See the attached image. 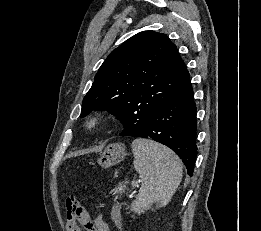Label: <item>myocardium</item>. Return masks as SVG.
Masks as SVG:
<instances>
[{"label":"myocardium","instance_id":"f54148a6","mask_svg":"<svg viewBox=\"0 0 261 231\" xmlns=\"http://www.w3.org/2000/svg\"><path fill=\"white\" fill-rule=\"evenodd\" d=\"M103 122H104L103 114L97 112L89 115L86 118L84 122V126L89 130H93L98 128Z\"/></svg>","mask_w":261,"mask_h":231}]
</instances>
